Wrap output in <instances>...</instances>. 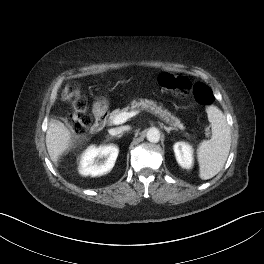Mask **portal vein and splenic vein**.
Returning a JSON list of instances; mask_svg holds the SVG:
<instances>
[{"instance_id":"obj_1","label":"portal vein and splenic vein","mask_w":264,"mask_h":264,"mask_svg":"<svg viewBox=\"0 0 264 264\" xmlns=\"http://www.w3.org/2000/svg\"><path fill=\"white\" fill-rule=\"evenodd\" d=\"M139 112H140L139 110L131 111V112H126V111L121 112L120 114H118L117 116H115L113 118L112 123L114 125L122 124V123L126 122L129 118H132V117L136 116Z\"/></svg>"}]
</instances>
